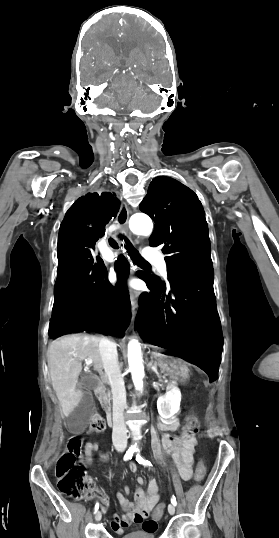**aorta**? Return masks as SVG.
Returning <instances> with one entry per match:
<instances>
[{"instance_id":"aorta-1","label":"aorta","mask_w":279,"mask_h":538,"mask_svg":"<svg viewBox=\"0 0 279 538\" xmlns=\"http://www.w3.org/2000/svg\"><path fill=\"white\" fill-rule=\"evenodd\" d=\"M131 231L138 235L149 236L153 230L152 220L144 214H134L129 221ZM142 360L141 346L136 339L128 344V363L132 373V380L137 390L143 388L145 376Z\"/></svg>"}]
</instances>
